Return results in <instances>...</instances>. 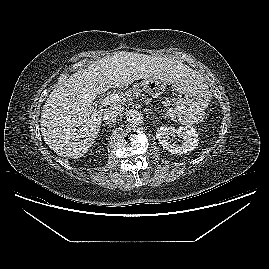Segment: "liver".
<instances>
[{"instance_id": "1", "label": "liver", "mask_w": 269, "mask_h": 269, "mask_svg": "<svg viewBox=\"0 0 269 269\" xmlns=\"http://www.w3.org/2000/svg\"><path fill=\"white\" fill-rule=\"evenodd\" d=\"M192 77L195 72L189 66L172 58L130 52L105 56L70 75L50 93L40 119L43 139L57 155L78 159L100 131L105 110L92 107L98 94L140 79L153 78L166 85ZM118 105L114 102L110 107Z\"/></svg>"}]
</instances>
